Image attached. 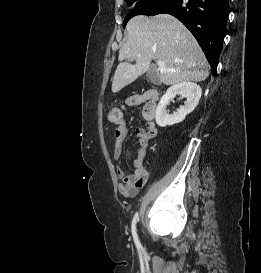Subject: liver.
I'll return each instance as SVG.
<instances>
[{
  "label": "liver",
  "instance_id": "6515ba94",
  "mask_svg": "<svg viewBox=\"0 0 261 273\" xmlns=\"http://www.w3.org/2000/svg\"><path fill=\"white\" fill-rule=\"evenodd\" d=\"M127 41L119 51L112 92L117 93L134 82L150 68L152 60L164 62L174 71L156 69L159 81L165 85L201 82L208 75V62L189 30L175 17L159 14L138 15L127 24ZM135 60L134 65L125 60Z\"/></svg>",
  "mask_w": 261,
  "mask_h": 273
}]
</instances>
